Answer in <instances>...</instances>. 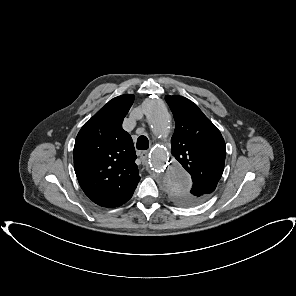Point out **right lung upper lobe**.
<instances>
[{
  "label": "right lung upper lobe",
  "instance_id": "cb5924a9",
  "mask_svg": "<svg viewBox=\"0 0 296 296\" xmlns=\"http://www.w3.org/2000/svg\"><path fill=\"white\" fill-rule=\"evenodd\" d=\"M133 95L110 100L79 131L73 150L74 168L84 193L102 207H119L140 180L131 136L122 122Z\"/></svg>",
  "mask_w": 296,
  "mask_h": 296
}]
</instances>
